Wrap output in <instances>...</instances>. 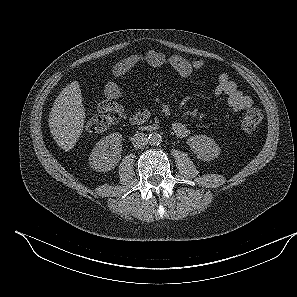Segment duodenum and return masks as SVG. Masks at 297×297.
<instances>
[{
    "mask_svg": "<svg viewBox=\"0 0 297 297\" xmlns=\"http://www.w3.org/2000/svg\"><path fill=\"white\" fill-rule=\"evenodd\" d=\"M143 129L145 131H154V130H157L158 129V126L157 125H147V126H144Z\"/></svg>",
    "mask_w": 297,
    "mask_h": 297,
    "instance_id": "duodenum-1",
    "label": "duodenum"
}]
</instances>
